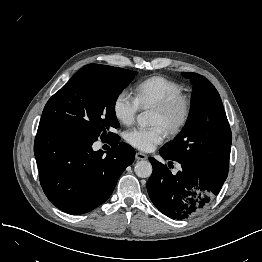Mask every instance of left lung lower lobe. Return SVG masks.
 <instances>
[{
  "label": "left lung lower lobe",
  "instance_id": "0a47b994",
  "mask_svg": "<svg viewBox=\"0 0 262 262\" xmlns=\"http://www.w3.org/2000/svg\"><path fill=\"white\" fill-rule=\"evenodd\" d=\"M166 160H173L160 151ZM153 172L146 188L154 206L166 216L184 220L202 211L216 196L228 174L225 169L220 175L206 176L194 167L181 164V170L172 174L166 165L149 158Z\"/></svg>",
  "mask_w": 262,
  "mask_h": 262
}]
</instances>
